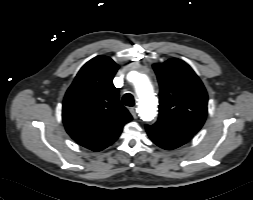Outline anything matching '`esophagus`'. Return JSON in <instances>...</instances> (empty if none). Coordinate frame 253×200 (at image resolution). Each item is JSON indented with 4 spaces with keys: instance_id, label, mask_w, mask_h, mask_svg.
<instances>
[{
    "instance_id": "obj_1",
    "label": "esophagus",
    "mask_w": 253,
    "mask_h": 200,
    "mask_svg": "<svg viewBox=\"0 0 253 200\" xmlns=\"http://www.w3.org/2000/svg\"><path fill=\"white\" fill-rule=\"evenodd\" d=\"M129 111H130L131 115L133 116V118H134V119H137L138 114H137L136 109L133 107V108H130Z\"/></svg>"
}]
</instances>
